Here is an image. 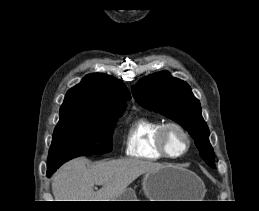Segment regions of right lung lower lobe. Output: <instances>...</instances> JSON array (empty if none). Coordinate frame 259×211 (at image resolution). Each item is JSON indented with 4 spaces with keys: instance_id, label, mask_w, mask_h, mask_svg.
I'll return each mask as SVG.
<instances>
[{
    "instance_id": "right-lung-lower-lobe-1",
    "label": "right lung lower lobe",
    "mask_w": 259,
    "mask_h": 211,
    "mask_svg": "<svg viewBox=\"0 0 259 211\" xmlns=\"http://www.w3.org/2000/svg\"><path fill=\"white\" fill-rule=\"evenodd\" d=\"M58 167H54V168H49L47 169V177H49L53 172L56 171Z\"/></svg>"
}]
</instances>
